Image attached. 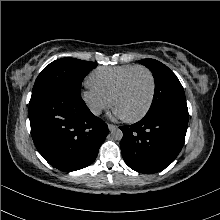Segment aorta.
Masks as SVG:
<instances>
[{"instance_id":"aorta-1","label":"aorta","mask_w":220,"mask_h":220,"mask_svg":"<svg viewBox=\"0 0 220 220\" xmlns=\"http://www.w3.org/2000/svg\"><path fill=\"white\" fill-rule=\"evenodd\" d=\"M123 137V132L119 128H114L111 130V138L114 140H121Z\"/></svg>"}]
</instances>
